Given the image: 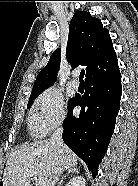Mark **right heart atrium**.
I'll return each mask as SVG.
<instances>
[{
    "mask_svg": "<svg viewBox=\"0 0 138 186\" xmlns=\"http://www.w3.org/2000/svg\"><path fill=\"white\" fill-rule=\"evenodd\" d=\"M34 113L43 134L60 127L66 118V104L61 91L56 87L44 90L36 99Z\"/></svg>",
    "mask_w": 138,
    "mask_h": 186,
    "instance_id": "right-heart-atrium-1",
    "label": "right heart atrium"
}]
</instances>
